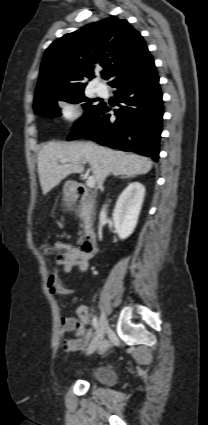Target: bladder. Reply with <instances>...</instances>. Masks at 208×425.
Returning <instances> with one entry per match:
<instances>
[{"instance_id":"obj_1","label":"bladder","mask_w":208,"mask_h":425,"mask_svg":"<svg viewBox=\"0 0 208 425\" xmlns=\"http://www.w3.org/2000/svg\"><path fill=\"white\" fill-rule=\"evenodd\" d=\"M90 377L104 386H112L115 382V377L111 369L107 365H98L93 367L89 372Z\"/></svg>"}]
</instances>
